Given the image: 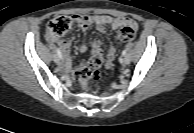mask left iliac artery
I'll use <instances>...</instances> for the list:
<instances>
[{
    "label": "left iliac artery",
    "instance_id": "left-iliac-artery-1",
    "mask_svg": "<svg viewBox=\"0 0 194 133\" xmlns=\"http://www.w3.org/2000/svg\"><path fill=\"white\" fill-rule=\"evenodd\" d=\"M122 56H126V50L122 51Z\"/></svg>",
    "mask_w": 194,
    "mask_h": 133
}]
</instances>
